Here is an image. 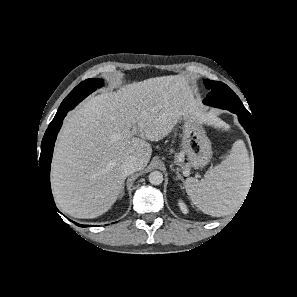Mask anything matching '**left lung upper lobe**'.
Wrapping results in <instances>:
<instances>
[{
	"mask_svg": "<svg viewBox=\"0 0 297 297\" xmlns=\"http://www.w3.org/2000/svg\"><path fill=\"white\" fill-rule=\"evenodd\" d=\"M205 86L210 90L209 94L203 100L207 105L228 109L233 113L251 115L239 97L226 84L220 81L204 80Z\"/></svg>",
	"mask_w": 297,
	"mask_h": 297,
	"instance_id": "obj_1",
	"label": "left lung upper lobe"
}]
</instances>
